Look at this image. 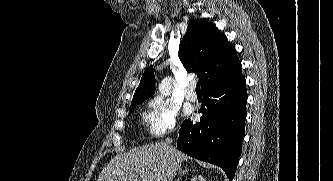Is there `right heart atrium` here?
Wrapping results in <instances>:
<instances>
[{
	"label": "right heart atrium",
	"mask_w": 333,
	"mask_h": 181,
	"mask_svg": "<svg viewBox=\"0 0 333 181\" xmlns=\"http://www.w3.org/2000/svg\"><path fill=\"white\" fill-rule=\"evenodd\" d=\"M178 108L169 100L158 96L148 103L145 122L149 133L153 137H160L176 126Z\"/></svg>",
	"instance_id": "d8ad5b80"
}]
</instances>
